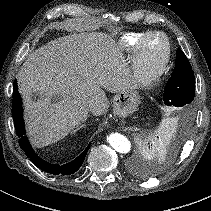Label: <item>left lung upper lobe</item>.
<instances>
[{"mask_svg":"<svg viewBox=\"0 0 211 211\" xmlns=\"http://www.w3.org/2000/svg\"><path fill=\"white\" fill-rule=\"evenodd\" d=\"M175 62L171 78L164 89L163 101L167 106L189 110L195 96L194 72L184 52L180 49L177 50Z\"/></svg>","mask_w":211,"mask_h":211,"instance_id":"5c2ea615","label":"left lung upper lobe"}]
</instances>
